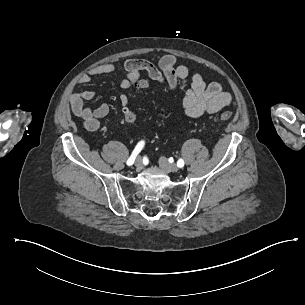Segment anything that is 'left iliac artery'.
<instances>
[{"label": "left iliac artery", "instance_id": "44dca946", "mask_svg": "<svg viewBox=\"0 0 305 305\" xmlns=\"http://www.w3.org/2000/svg\"><path fill=\"white\" fill-rule=\"evenodd\" d=\"M177 166L179 168H182L184 166V161L182 159H179L178 162H177Z\"/></svg>", "mask_w": 305, "mask_h": 305}]
</instances>
